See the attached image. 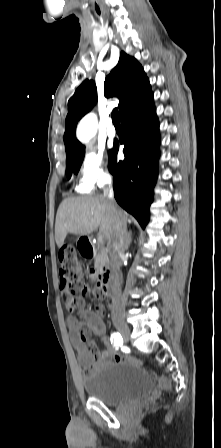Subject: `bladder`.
<instances>
[{"instance_id":"31cf9c89","label":"bladder","mask_w":221,"mask_h":448,"mask_svg":"<svg viewBox=\"0 0 221 448\" xmlns=\"http://www.w3.org/2000/svg\"><path fill=\"white\" fill-rule=\"evenodd\" d=\"M82 386L89 398L106 405H119L149 397L154 386L144 369L126 364L111 363L84 377Z\"/></svg>"}]
</instances>
